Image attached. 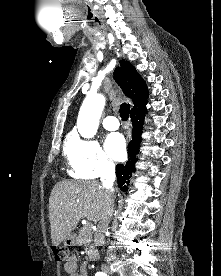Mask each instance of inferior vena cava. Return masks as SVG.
Returning a JSON list of instances; mask_svg holds the SVG:
<instances>
[{"instance_id": "602c4592", "label": "inferior vena cava", "mask_w": 221, "mask_h": 276, "mask_svg": "<svg viewBox=\"0 0 221 276\" xmlns=\"http://www.w3.org/2000/svg\"><path fill=\"white\" fill-rule=\"evenodd\" d=\"M115 165L113 163H106L103 173L101 175L102 186L106 188L109 192L110 199L108 201L105 214L100 219L97 230L94 235V244L95 246H102L105 242V232L108 229V225L112 219L113 211H114V188L113 184L115 181Z\"/></svg>"}]
</instances>
